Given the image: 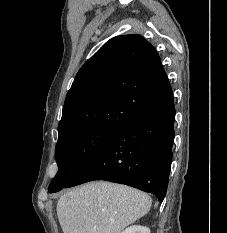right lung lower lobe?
I'll use <instances>...</instances> for the list:
<instances>
[{"instance_id":"1","label":"right lung lower lobe","mask_w":227,"mask_h":233,"mask_svg":"<svg viewBox=\"0 0 227 233\" xmlns=\"http://www.w3.org/2000/svg\"><path fill=\"white\" fill-rule=\"evenodd\" d=\"M174 119L172 95L160 106L117 130L65 187L93 180H107L152 193L162 202L172 161Z\"/></svg>"}]
</instances>
